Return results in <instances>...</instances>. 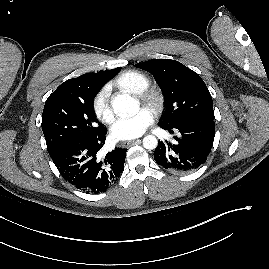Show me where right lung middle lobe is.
<instances>
[{
    "label": "right lung middle lobe",
    "instance_id": "obj_1",
    "mask_svg": "<svg viewBox=\"0 0 269 269\" xmlns=\"http://www.w3.org/2000/svg\"><path fill=\"white\" fill-rule=\"evenodd\" d=\"M99 90L100 87L75 88L48 97L41 126L50 157L71 142L91 138L105 129L97 123L93 108Z\"/></svg>",
    "mask_w": 269,
    "mask_h": 269
}]
</instances>
